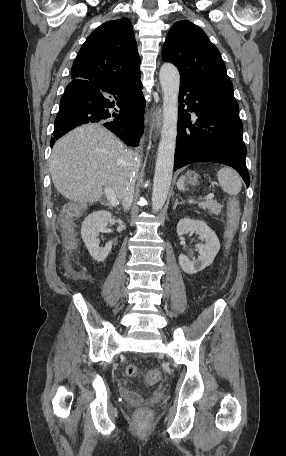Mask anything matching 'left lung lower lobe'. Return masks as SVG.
<instances>
[{"instance_id":"left-lung-lower-lobe-1","label":"left lung lower lobe","mask_w":286,"mask_h":456,"mask_svg":"<svg viewBox=\"0 0 286 456\" xmlns=\"http://www.w3.org/2000/svg\"><path fill=\"white\" fill-rule=\"evenodd\" d=\"M185 95L186 110L181 106ZM179 104L174 169L200 161L221 163L237 170L248 187L239 107L185 81H180ZM188 112H195V124Z\"/></svg>"}]
</instances>
